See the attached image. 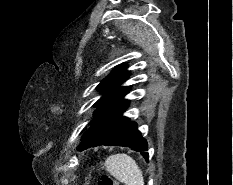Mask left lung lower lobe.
<instances>
[{
  "label": "left lung lower lobe",
  "instance_id": "1",
  "mask_svg": "<svg viewBox=\"0 0 233 185\" xmlns=\"http://www.w3.org/2000/svg\"><path fill=\"white\" fill-rule=\"evenodd\" d=\"M126 93L116 99L103 114V116L83 135L78 150L99 145L127 146L140 152L148 160V145L137 124L123 117L129 101L122 99Z\"/></svg>",
  "mask_w": 233,
  "mask_h": 185
}]
</instances>
